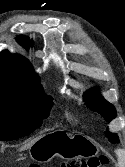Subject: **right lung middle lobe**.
Segmentation results:
<instances>
[{"instance_id": "1", "label": "right lung middle lobe", "mask_w": 125, "mask_h": 167, "mask_svg": "<svg viewBox=\"0 0 125 167\" xmlns=\"http://www.w3.org/2000/svg\"><path fill=\"white\" fill-rule=\"evenodd\" d=\"M52 106V97L44 93L27 98L0 94V141L32 133L49 116Z\"/></svg>"}]
</instances>
